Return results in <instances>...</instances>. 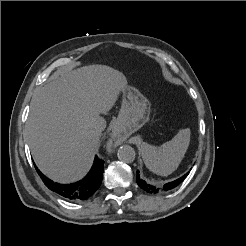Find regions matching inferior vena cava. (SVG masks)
Returning a JSON list of instances; mask_svg holds the SVG:
<instances>
[{"instance_id":"inferior-vena-cava-1","label":"inferior vena cava","mask_w":246,"mask_h":246,"mask_svg":"<svg viewBox=\"0 0 246 246\" xmlns=\"http://www.w3.org/2000/svg\"><path fill=\"white\" fill-rule=\"evenodd\" d=\"M102 130L103 129L100 125H95L92 129V132L95 136L99 137L101 135Z\"/></svg>"}]
</instances>
